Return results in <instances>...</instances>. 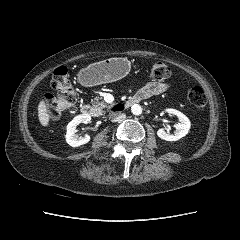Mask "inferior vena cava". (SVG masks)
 Masks as SVG:
<instances>
[{"label":"inferior vena cava","instance_id":"1","mask_svg":"<svg viewBox=\"0 0 240 240\" xmlns=\"http://www.w3.org/2000/svg\"><path fill=\"white\" fill-rule=\"evenodd\" d=\"M126 115L124 113H111L110 119L113 122L121 121L125 119Z\"/></svg>","mask_w":240,"mask_h":240}]
</instances>
